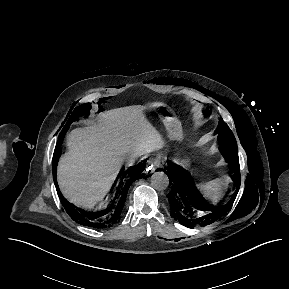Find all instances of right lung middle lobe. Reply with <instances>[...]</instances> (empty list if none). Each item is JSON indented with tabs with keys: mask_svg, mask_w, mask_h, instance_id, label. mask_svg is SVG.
Listing matches in <instances>:
<instances>
[{
	"mask_svg": "<svg viewBox=\"0 0 289 289\" xmlns=\"http://www.w3.org/2000/svg\"><path fill=\"white\" fill-rule=\"evenodd\" d=\"M90 109H91V104H90V103H85V104H82V105L76 107V108L73 110V112H72L69 120H68L67 123L65 124L64 128H65V129H68L69 125H70L72 122L78 120L79 116H86V117H87V116L89 115ZM64 128H63V129H64Z\"/></svg>",
	"mask_w": 289,
	"mask_h": 289,
	"instance_id": "dd1d6c3e",
	"label": "right lung middle lobe"
}]
</instances>
